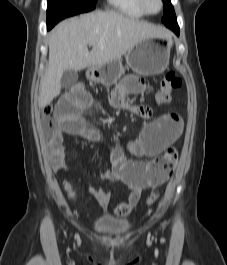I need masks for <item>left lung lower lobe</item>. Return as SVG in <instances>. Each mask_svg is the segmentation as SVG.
Segmentation results:
<instances>
[{
    "mask_svg": "<svg viewBox=\"0 0 227 265\" xmlns=\"http://www.w3.org/2000/svg\"><path fill=\"white\" fill-rule=\"evenodd\" d=\"M170 29H172L177 35H179V27L178 26H176V27L172 26Z\"/></svg>",
    "mask_w": 227,
    "mask_h": 265,
    "instance_id": "0a47b994",
    "label": "left lung lower lobe"
}]
</instances>
